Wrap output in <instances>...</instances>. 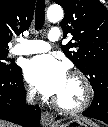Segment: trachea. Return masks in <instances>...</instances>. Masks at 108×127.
<instances>
[{
    "label": "trachea",
    "mask_w": 108,
    "mask_h": 127,
    "mask_svg": "<svg viewBox=\"0 0 108 127\" xmlns=\"http://www.w3.org/2000/svg\"><path fill=\"white\" fill-rule=\"evenodd\" d=\"M45 22V0H38L35 10V29H41Z\"/></svg>",
    "instance_id": "1"
}]
</instances>
